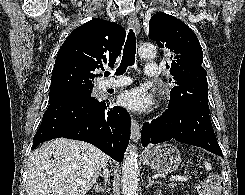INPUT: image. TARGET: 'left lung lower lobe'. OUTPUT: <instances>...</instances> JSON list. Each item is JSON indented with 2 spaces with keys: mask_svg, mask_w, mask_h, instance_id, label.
<instances>
[{
  "mask_svg": "<svg viewBox=\"0 0 245 195\" xmlns=\"http://www.w3.org/2000/svg\"><path fill=\"white\" fill-rule=\"evenodd\" d=\"M169 140L202 147L223 157L212 128L209 108L200 105H168L160 118L144 124L141 133L144 147Z\"/></svg>",
  "mask_w": 245,
  "mask_h": 195,
  "instance_id": "left-lung-lower-lobe-1",
  "label": "left lung lower lobe"
}]
</instances>
